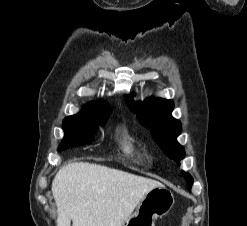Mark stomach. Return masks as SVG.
<instances>
[{"label":"stomach","mask_w":247,"mask_h":226,"mask_svg":"<svg viewBox=\"0 0 247 226\" xmlns=\"http://www.w3.org/2000/svg\"><path fill=\"white\" fill-rule=\"evenodd\" d=\"M174 204L173 193L164 185L148 191L132 216L121 226H155V219L166 215Z\"/></svg>","instance_id":"1"}]
</instances>
